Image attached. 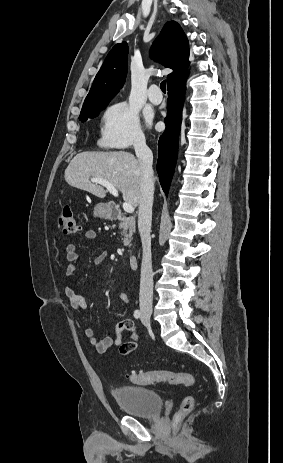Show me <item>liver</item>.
<instances>
[{
  "mask_svg": "<svg viewBox=\"0 0 283 463\" xmlns=\"http://www.w3.org/2000/svg\"><path fill=\"white\" fill-rule=\"evenodd\" d=\"M66 182L99 198L106 190L91 178L105 179L121 191L124 201L133 206L141 197L142 167L140 161L125 151L82 152L77 154L64 172Z\"/></svg>",
  "mask_w": 283,
  "mask_h": 463,
  "instance_id": "1",
  "label": "liver"
}]
</instances>
